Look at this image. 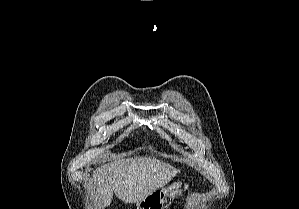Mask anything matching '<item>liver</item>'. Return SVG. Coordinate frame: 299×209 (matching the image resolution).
Returning <instances> with one entry per match:
<instances>
[{
  "label": "liver",
  "mask_w": 299,
  "mask_h": 209,
  "mask_svg": "<svg viewBox=\"0 0 299 209\" xmlns=\"http://www.w3.org/2000/svg\"><path fill=\"white\" fill-rule=\"evenodd\" d=\"M177 173L176 168L152 157L119 160L95 171L94 196L99 207L110 205L113 191L123 202L138 203L155 189L164 187Z\"/></svg>",
  "instance_id": "6515ba94"
}]
</instances>
